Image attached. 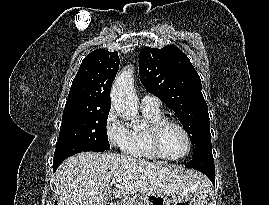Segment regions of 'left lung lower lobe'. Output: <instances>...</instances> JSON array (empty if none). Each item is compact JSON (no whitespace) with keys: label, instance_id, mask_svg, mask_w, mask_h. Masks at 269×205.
<instances>
[{"label":"left lung lower lobe","instance_id":"obj_1","mask_svg":"<svg viewBox=\"0 0 269 205\" xmlns=\"http://www.w3.org/2000/svg\"><path fill=\"white\" fill-rule=\"evenodd\" d=\"M186 167L204 173L215 184V167L211 146L194 155Z\"/></svg>","mask_w":269,"mask_h":205}]
</instances>
